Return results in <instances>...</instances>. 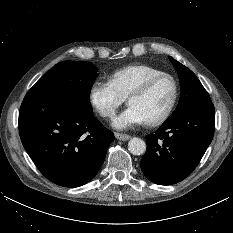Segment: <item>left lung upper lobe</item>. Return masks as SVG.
Masks as SVG:
<instances>
[{
	"mask_svg": "<svg viewBox=\"0 0 233 233\" xmlns=\"http://www.w3.org/2000/svg\"><path fill=\"white\" fill-rule=\"evenodd\" d=\"M169 59L179 75L181 96L177 108L167 120L177 118L194 107L211 104L209 94L196 75L172 57H169Z\"/></svg>",
	"mask_w": 233,
	"mask_h": 233,
	"instance_id": "1",
	"label": "left lung upper lobe"
}]
</instances>
